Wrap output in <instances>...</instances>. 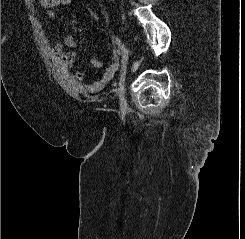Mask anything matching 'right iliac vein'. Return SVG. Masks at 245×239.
Listing matches in <instances>:
<instances>
[{
    "mask_svg": "<svg viewBox=\"0 0 245 239\" xmlns=\"http://www.w3.org/2000/svg\"><path fill=\"white\" fill-rule=\"evenodd\" d=\"M124 47H125L124 62L121 68V76H120L119 89H118L121 110H126L127 108V102L125 97V78H126V68H127V60H128V50L125 45Z\"/></svg>",
    "mask_w": 245,
    "mask_h": 239,
    "instance_id": "obj_1",
    "label": "right iliac vein"
}]
</instances>
